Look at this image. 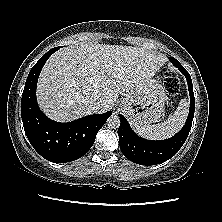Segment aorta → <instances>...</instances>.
<instances>
[{
	"label": "aorta",
	"instance_id": "762f6f07",
	"mask_svg": "<svg viewBox=\"0 0 222 222\" xmlns=\"http://www.w3.org/2000/svg\"><path fill=\"white\" fill-rule=\"evenodd\" d=\"M107 125L111 129H116L120 126V118L117 115H112L107 120Z\"/></svg>",
	"mask_w": 222,
	"mask_h": 222
}]
</instances>
